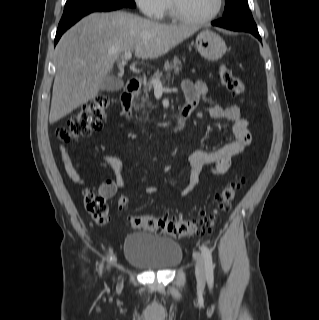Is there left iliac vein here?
<instances>
[{
    "instance_id": "1",
    "label": "left iliac vein",
    "mask_w": 319,
    "mask_h": 320,
    "mask_svg": "<svg viewBox=\"0 0 319 320\" xmlns=\"http://www.w3.org/2000/svg\"><path fill=\"white\" fill-rule=\"evenodd\" d=\"M194 259H195V274L197 282L200 285H204L205 283V265L204 261L201 258L200 254L198 252L194 253Z\"/></svg>"
}]
</instances>
